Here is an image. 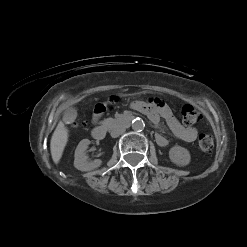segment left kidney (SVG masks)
Here are the masks:
<instances>
[{
    "instance_id": "5707ae66",
    "label": "left kidney",
    "mask_w": 247,
    "mask_h": 247,
    "mask_svg": "<svg viewBox=\"0 0 247 247\" xmlns=\"http://www.w3.org/2000/svg\"><path fill=\"white\" fill-rule=\"evenodd\" d=\"M169 158L177 166L184 167L190 163L191 156L186 148L176 145L169 150Z\"/></svg>"
}]
</instances>
